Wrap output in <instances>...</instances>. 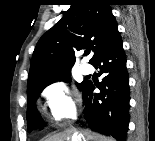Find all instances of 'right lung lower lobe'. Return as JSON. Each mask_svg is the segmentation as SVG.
<instances>
[{"instance_id":"obj_1","label":"right lung lower lobe","mask_w":155,"mask_h":141,"mask_svg":"<svg viewBox=\"0 0 155 141\" xmlns=\"http://www.w3.org/2000/svg\"><path fill=\"white\" fill-rule=\"evenodd\" d=\"M104 74L102 82L86 81L82 87L84 116L92 130L123 141L129 124V76L120 33L117 32L91 63ZM98 87L100 93H95Z\"/></svg>"}]
</instances>
